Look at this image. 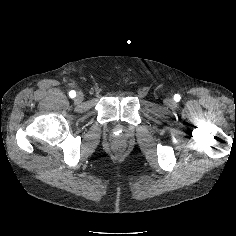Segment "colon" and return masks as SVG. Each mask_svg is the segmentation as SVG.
<instances>
[{
	"instance_id": "obj_1",
	"label": "colon",
	"mask_w": 236,
	"mask_h": 236,
	"mask_svg": "<svg viewBox=\"0 0 236 236\" xmlns=\"http://www.w3.org/2000/svg\"><path fill=\"white\" fill-rule=\"evenodd\" d=\"M121 149H122V147H121L120 145L117 144V145L115 146V150H116V151H120Z\"/></svg>"
}]
</instances>
